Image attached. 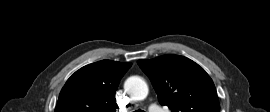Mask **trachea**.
Wrapping results in <instances>:
<instances>
[{"label":"trachea","mask_w":270,"mask_h":112,"mask_svg":"<svg viewBox=\"0 0 270 112\" xmlns=\"http://www.w3.org/2000/svg\"><path fill=\"white\" fill-rule=\"evenodd\" d=\"M134 112H145V111H142V110L139 109V110H136V111H134Z\"/></svg>","instance_id":"3493384b"}]
</instances>
